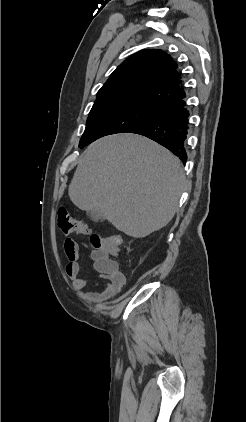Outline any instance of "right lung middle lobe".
<instances>
[{
	"label": "right lung middle lobe",
	"mask_w": 246,
	"mask_h": 422,
	"mask_svg": "<svg viewBox=\"0 0 246 422\" xmlns=\"http://www.w3.org/2000/svg\"><path fill=\"white\" fill-rule=\"evenodd\" d=\"M160 114L158 107L144 105H100L92 107L79 147L106 135L129 132Z\"/></svg>",
	"instance_id": "obj_1"
}]
</instances>
